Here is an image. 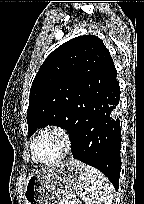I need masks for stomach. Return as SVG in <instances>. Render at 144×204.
Wrapping results in <instances>:
<instances>
[{"instance_id":"1","label":"stomach","mask_w":144,"mask_h":204,"mask_svg":"<svg viewBox=\"0 0 144 204\" xmlns=\"http://www.w3.org/2000/svg\"><path fill=\"white\" fill-rule=\"evenodd\" d=\"M86 165L68 161L31 175L24 187L25 204H66L86 186Z\"/></svg>"}]
</instances>
